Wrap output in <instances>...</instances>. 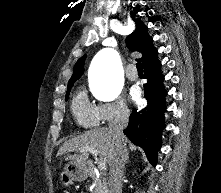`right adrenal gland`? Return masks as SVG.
<instances>
[{
	"label": "right adrenal gland",
	"mask_w": 221,
	"mask_h": 193,
	"mask_svg": "<svg viewBox=\"0 0 221 193\" xmlns=\"http://www.w3.org/2000/svg\"><path fill=\"white\" fill-rule=\"evenodd\" d=\"M129 162V156L127 157V163Z\"/></svg>",
	"instance_id": "right-adrenal-gland-1"
}]
</instances>
